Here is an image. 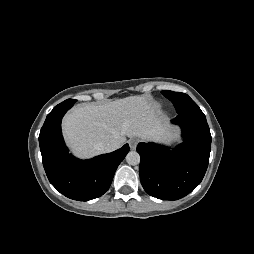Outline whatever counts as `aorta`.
I'll return each instance as SVG.
<instances>
[{
    "label": "aorta",
    "instance_id": "762f6f07",
    "mask_svg": "<svg viewBox=\"0 0 254 254\" xmlns=\"http://www.w3.org/2000/svg\"><path fill=\"white\" fill-rule=\"evenodd\" d=\"M126 161L129 165H138L140 163V155L136 151H130L126 155Z\"/></svg>",
    "mask_w": 254,
    "mask_h": 254
}]
</instances>
